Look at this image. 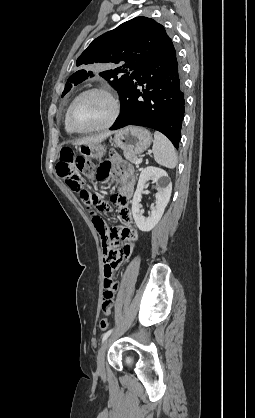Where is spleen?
<instances>
[{
  "label": "spleen",
  "instance_id": "3e777b00",
  "mask_svg": "<svg viewBox=\"0 0 255 418\" xmlns=\"http://www.w3.org/2000/svg\"><path fill=\"white\" fill-rule=\"evenodd\" d=\"M152 151L155 161L164 167L173 169L177 165V155L174 146L169 139L162 133H154Z\"/></svg>",
  "mask_w": 255,
  "mask_h": 418
}]
</instances>
